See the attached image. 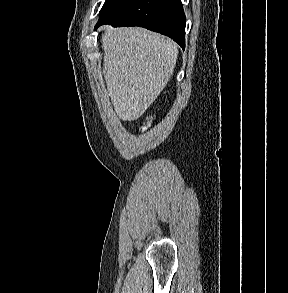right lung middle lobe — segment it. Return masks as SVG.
I'll list each match as a JSON object with an SVG mask.
<instances>
[{
	"instance_id": "right-lung-middle-lobe-1",
	"label": "right lung middle lobe",
	"mask_w": 288,
	"mask_h": 293,
	"mask_svg": "<svg viewBox=\"0 0 288 293\" xmlns=\"http://www.w3.org/2000/svg\"><path fill=\"white\" fill-rule=\"evenodd\" d=\"M128 1L129 0H106L100 11L99 21L97 24H100L109 19Z\"/></svg>"
}]
</instances>
